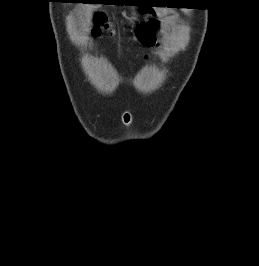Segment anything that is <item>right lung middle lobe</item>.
<instances>
[{"label":"right lung middle lobe","mask_w":259,"mask_h":266,"mask_svg":"<svg viewBox=\"0 0 259 266\" xmlns=\"http://www.w3.org/2000/svg\"><path fill=\"white\" fill-rule=\"evenodd\" d=\"M88 2H92V3L95 2L96 3L97 1H88Z\"/></svg>","instance_id":"right-lung-middle-lobe-1"}]
</instances>
